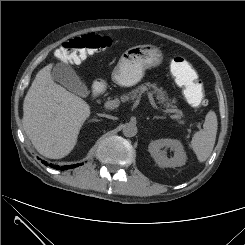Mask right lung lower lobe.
I'll list each match as a JSON object with an SVG mask.
<instances>
[{"instance_id": "obj_1", "label": "right lung lower lobe", "mask_w": 245, "mask_h": 245, "mask_svg": "<svg viewBox=\"0 0 245 245\" xmlns=\"http://www.w3.org/2000/svg\"><path fill=\"white\" fill-rule=\"evenodd\" d=\"M43 163H45L44 161H42ZM47 165V164H46ZM49 166L53 167V168H56V169H60V170H66V169H71V168H75V167H78L79 164H76V165H69V166H53L52 164H50Z\"/></svg>"}]
</instances>
